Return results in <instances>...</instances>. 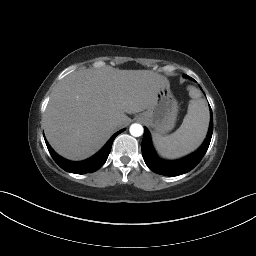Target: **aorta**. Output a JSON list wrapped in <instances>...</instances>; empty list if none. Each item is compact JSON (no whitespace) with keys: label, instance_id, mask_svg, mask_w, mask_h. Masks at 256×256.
Returning a JSON list of instances; mask_svg holds the SVG:
<instances>
[{"label":"aorta","instance_id":"aorta-1","mask_svg":"<svg viewBox=\"0 0 256 256\" xmlns=\"http://www.w3.org/2000/svg\"><path fill=\"white\" fill-rule=\"evenodd\" d=\"M130 134L134 137H139L143 134L144 129L141 124L134 123L130 126Z\"/></svg>","mask_w":256,"mask_h":256}]
</instances>
